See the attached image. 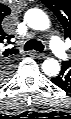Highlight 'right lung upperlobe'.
<instances>
[{
    "instance_id": "right-lung-upper-lobe-1",
    "label": "right lung upper lobe",
    "mask_w": 71,
    "mask_h": 119,
    "mask_svg": "<svg viewBox=\"0 0 71 119\" xmlns=\"http://www.w3.org/2000/svg\"><path fill=\"white\" fill-rule=\"evenodd\" d=\"M1 13H2V18H4L5 16L9 15L11 13V10L10 8H8L7 6H4L2 7V10H1ZM6 41V39H5ZM16 52V50H14Z\"/></svg>"
}]
</instances>
